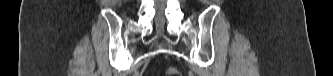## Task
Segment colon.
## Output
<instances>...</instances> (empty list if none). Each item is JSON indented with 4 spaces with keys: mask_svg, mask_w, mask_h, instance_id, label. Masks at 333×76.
Wrapping results in <instances>:
<instances>
[{
    "mask_svg": "<svg viewBox=\"0 0 333 76\" xmlns=\"http://www.w3.org/2000/svg\"><path fill=\"white\" fill-rule=\"evenodd\" d=\"M178 71L175 68H170L168 70V75H178Z\"/></svg>",
    "mask_w": 333,
    "mask_h": 76,
    "instance_id": "1",
    "label": "colon"
}]
</instances>
